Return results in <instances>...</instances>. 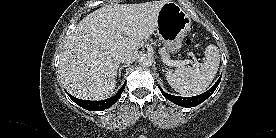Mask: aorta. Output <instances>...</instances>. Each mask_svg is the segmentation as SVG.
Returning <instances> with one entry per match:
<instances>
[{"label": "aorta", "instance_id": "762f6f07", "mask_svg": "<svg viewBox=\"0 0 276 138\" xmlns=\"http://www.w3.org/2000/svg\"><path fill=\"white\" fill-rule=\"evenodd\" d=\"M153 63V58L151 55L149 54H142L139 57V64L143 67H148L151 66Z\"/></svg>", "mask_w": 276, "mask_h": 138}]
</instances>
